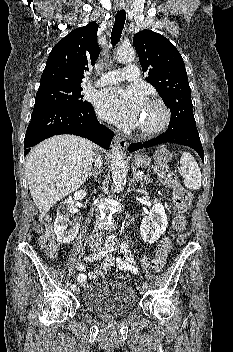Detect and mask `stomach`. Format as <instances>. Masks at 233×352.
<instances>
[{"mask_svg":"<svg viewBox=\"0 0 233 352\" xmlns=\"http://www.w3.org/2000/svg\"><path fill=\"white\" fill-rule=\"evenodd\" d=\"M151 159L145 154H136L134 157V165L137 167H147L150 165Z\"/></svg>","mask_w":233,"mask_h":352,"instance_id":"stomach-1","label":"stomach"}]
</instances>
